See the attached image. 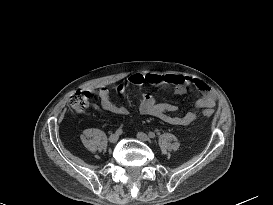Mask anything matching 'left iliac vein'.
<instances>
[{
	"mask_svg": "<svg viewBox=\"0 0 273 205\" xmlns=\"http://www.w3.org/2000/svg\"><path fill=\"white\" fill-rule=\"evenodd\" d=\"M137 138L143 142H148L149 141V137L147 134L143 133V132H138L137 133Z\"/></svg>",
	"mask_w": 273,
	"mask_h": 205,
	"instance_id": "left-iliac-vein-1",
	"label": "left iliac vein"
}]
</instances>
